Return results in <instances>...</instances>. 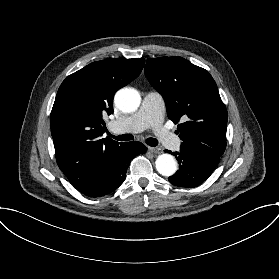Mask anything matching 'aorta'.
Listing matches in <instances>:
<instances>
[{"label": "aorta", "instance_id": "1", "mask_svg": "<svg viewBox=\"0 0 279 279\" xmlns=\"http://www.w3.org/2000/svg\"><path fill=\"white\" fill-rule=\"evenodd\" d=\"M114 103L122 112H133L141 103V96L133 88H122L115 94ZM156 170L162 176H172L177 170V163L170 154H161L155 161Z\"/></svg>", "mask_w": 279, "mask_h": 279}]
</instances>
